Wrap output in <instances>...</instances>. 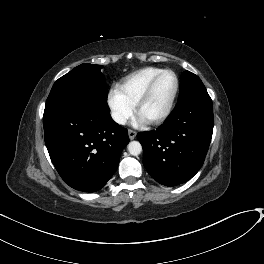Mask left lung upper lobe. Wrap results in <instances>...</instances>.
<instances>
[{"mask_svg":"<svg viewBox=\"0 0 264 264\" xmlns=\"http://www.w3.org/2000/svg\"><path fill=\"white\" fill-rule=\"evenodd\" d=\"M204 92H207V90L197 75L193 74L190 71H185L182 74L178 101L191 94Z\"/></svg>","mask_w":264,"mask_h":264,"instance_id":"5c2ea615","label":"left lung upper lobe"}]
</instances>
